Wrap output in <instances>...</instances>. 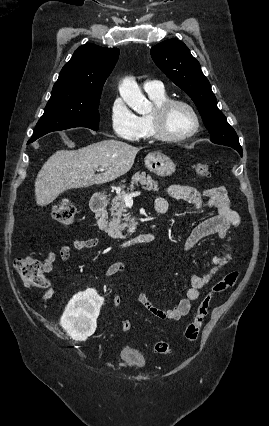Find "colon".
Wrapping results in <instances>:
<instances>
[{
    "label": "colon",
    "instance_id": "colon-1",
    "mask_svg": "<svg viewBox=\"0 0 269 426\" xmlns=\"http://www.w3.org/2000/svg\"><path fill=\"white\" fill-rule=\"evenodd\" d=\"M193 170L201 177L207 178L210 176V170L206 163H194ZM51 215L59 225L68 228L75 222L76 208L69 199L62 198L51 207ZM14 268L23 285L33 287H43L45 285L46 278L42 263L36 258L29 256L19 257L14 262ZM238 278V271L233 270L228 272L221 280L215 282L211 289L203 296L192 315L191 321L185 328L184 339L187 342H193L197 339L215 297L234 287ZM121 328L125 332L130 331L132 329L131 321L123 320ZM154 349L158 354L162 355H170L172 353L171 345L165 341L156 342Z\"/></svg>",
    "mask_w": 269,
    "mask_h": 426
}]
</instances>
